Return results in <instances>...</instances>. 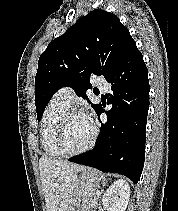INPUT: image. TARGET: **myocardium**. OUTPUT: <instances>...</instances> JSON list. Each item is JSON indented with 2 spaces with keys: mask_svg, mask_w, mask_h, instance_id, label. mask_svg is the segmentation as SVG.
Segmentation results:
<instances>
[{
  "mask_svg": "<svg viewBox=\"0 0 178 211\" xmlns=\"http://www.w3.org/2000/svg\"><path fill=\"white\" fill-rule=\"evenodd\" d=\"M74 115H83V114L76 109H68L62 117L58 135H57V141H56L57 146H58L60 152L62 153V155L66 156V157L79 155V154L85 153L86 151L90 150L94 146L97 136H98V127L95 123L92 122L93 131H92V137H91L90 141L83 148H81L79 150H76V151L68 150L64 144L65 133H66L69 119Z\"/></svg>",
  "mask_w": 178,
  "mask_h": 211,
  "instance_id": "f54148a6",
  "label": "myocardium"
}]
</instances>
